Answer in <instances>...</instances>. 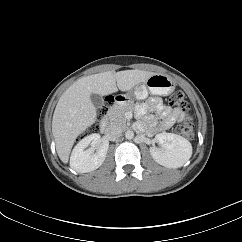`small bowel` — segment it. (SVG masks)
I'll return each mask as SVG.
<instances>
[{
    "instance_id": "obj_1",
    "label": "small bowel",
    "mask_w": 242,
    "mask_h": 242,
    "mask_svg": "<svg viewBox=\"0 0 242 242\" xmlns=\"http://www.w3.org/2000/svg\"><path fill=\"white\" fill-rule=\"evenodd\" d=\"M152 109L160 115V123L146 117L149 110V106L147 104L142 103L136 107V115L141 118V121L137 123V127L139 129H148L152 132H160L169 129L184 116L182 112L163 105L157 99L152 101Z\"/></svg>"
}]
</instances>
